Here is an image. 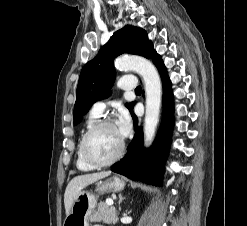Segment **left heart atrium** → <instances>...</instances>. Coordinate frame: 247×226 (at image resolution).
<instances>
[{
  "label": "left heart atrium",
  "mask_w": 247,
  "mask_h": 226,
  "mask_svg": "<svg viewBox=\"0 0 247 226\" xmlns=\"http://www.w3.org/2000/svg\"><path fill=\"white\" fill-rule=\"evenodd\" d=\"M120 136L122 139H124L125 137H127L130 132H131V121L130 118L128 116L127 113H123L118 122H117V126H116Z\"/></svg>",
  "instance_id": "39dd6f15"
}]
</instances>
